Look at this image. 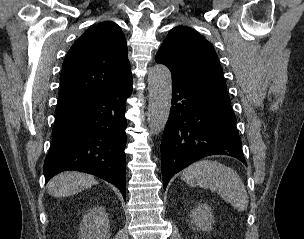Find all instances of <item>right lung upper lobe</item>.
Segmentation results:
<instances>
[{"label":"right lung upper lobe","mask_w":304,"mask_h":239,"mask_svg":"<svg viewBox=\"0 0 304 239\" xmlns=\"http://www.w3.org/2000/svg\"><path fill=\"white\" fill-rule=\"evenodd\" d=\"M125 35L112 21L88 29L70 48L56 111L85 102L132 76Z\"/></svg>","instance_id":"1"}]
</instances>
